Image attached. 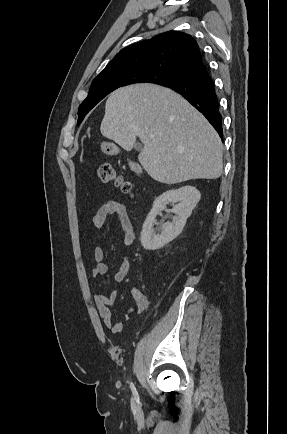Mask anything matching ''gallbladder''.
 I'll return each mask as SVG.
<instances>
[{"instance_id": "obj_1", "label": "gallbladder", "mask_w": 287, "mask_h": 434, "mask_svg": "<svg viewBox=\"0 0 287 434\" xmlns=\"http://www.w3.org/2000/svg\"><path fill=\"white\" fill-rule=\"evenodd\" d=\"M135 148H136V149H142V146H141V144H138V143H137V144H135Z\"/></svg>"}]
</instances>
